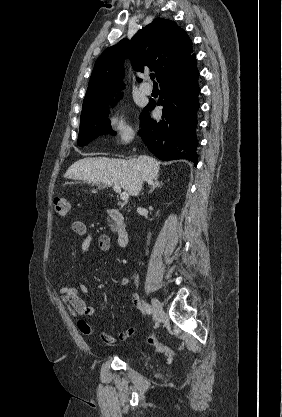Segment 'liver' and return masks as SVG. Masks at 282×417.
I'll return each instance as SVG.
<instances>
[{"label": "liver", "mask_w": 282, "mask_h": 417, "mask_svg": "<svg viewBox=\"0 0 282 417\" xmlns=\"http://www.w3.org/2000/svg\"><path fill=\"white\" fill-rule=\"evenodd\" d=\"M160 162L152 156L140 154L138 158H106V156H87L73 162L66 170V178H76V180H88L94 184L111 186L117 184L129 194L137 196L143 180H153L158 176ZM92 192H96L93 188Z\"/></svg>", "instance_id": "obj_1"}]
</instances>
